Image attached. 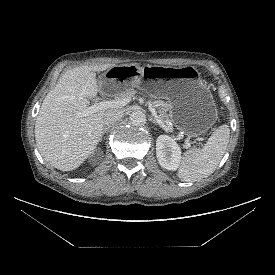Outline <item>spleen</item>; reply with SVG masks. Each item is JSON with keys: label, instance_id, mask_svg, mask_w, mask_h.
<instances>
[{"label": "spleen", "instance_id": "1", "mask_svg": "<svg viewBox=\"0 0 275 275\" xmlns=\"http://www.w3.org/2000/svg\"><path fill=\"white\" fill-rule=\"evenodd\" d=\"M229 137V126L224 124L213 132L203 148L186 151L177 173L180 180L195 182L210 176L227 149Z\"/></svg>", "mask_w": 275, "mask_h": 275}]
</instances>
